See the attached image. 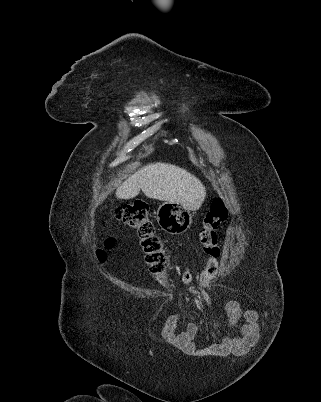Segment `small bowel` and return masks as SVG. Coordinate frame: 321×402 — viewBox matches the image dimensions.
Here are the masks:
<instances>
[{"instance_id": "small-bowel-1", "label": "small bowel", "mask_w": 321, "mask_h": 402, "mask_svg": "<svg viewBox=\"0 0 321 402\" xmlns=\"http://www.w3.org/2000/svg\"><path fill=\"white\" fill-rule=\"evenodd\" d=\"M184 283L192 281V274L185 270L182 275ZM213 308V305H209ZM233 324H240L231 334H224L222 340L225 344H200L195 341L198 326L188 323L185 329L178 328L180 316H172L165 325V334L176 346L183 349L186 358H243L245 353H253L257 340L261 337L258 330L260 322L255 320L257 313L251 307H244L237 302H227L225 305ZM243 308V310H242ZM243 313V314H242Z\"/></svg>"}]
</instances>
